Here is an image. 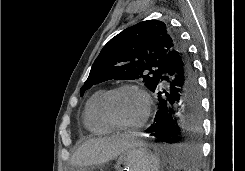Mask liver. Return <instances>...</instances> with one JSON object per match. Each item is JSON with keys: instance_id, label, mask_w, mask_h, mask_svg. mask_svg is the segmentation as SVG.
I'll list each match as a JSON object with an SVG mask.
<instances>
[{"instance_id": "1", "label": "liver", "mask_w": 245, "mask_h": 171, "mask_svg": "<svg viewBox=\"0 0 245 171\" xmlns=\"http://www.w3.org/2000/svg\"><path fill=\"white\" fill-rule=\"evenodd\" d=\"M135 146H145V144L139 141L137 135L133 133L93 138L77 149L70 163L78 167L104 164Z\"/></svg>"}]
</instances>
